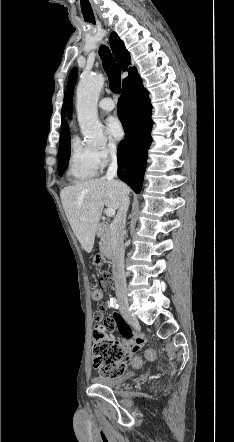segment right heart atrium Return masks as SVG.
<instances>
[{
    "label": "right heart atrium",
    "mask_w": 234,
    "mask_h": 442,
    "mask_svg": "<svg viewBox=\"0 0 234 442\" xmlns=\"http://www.w3.org/2000/svg\"><path fill=\"white\" fill-rule=\"evenodd\" d=\"M117 155V146L113 142L95 150V156L100 167L105 166L115 159Z\"/></svg>",
    "instance_id": "d8ad5b80"
}]
</instances>
